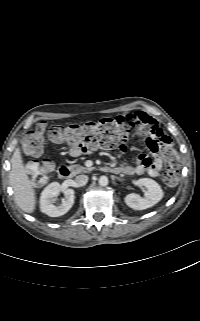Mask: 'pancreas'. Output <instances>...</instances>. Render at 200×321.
Masks as SVG:
<instances>
[{
    "label": "pancreas",
    "mask_w": 200,
    "mask_h": 321,
    "mask_svg": "<svg viewBox=\"0 0 200 321\" xmlns=\"http://www.w3.org/2000/svg\"><path fill=\"white\" fill-rule=\"evenodd\" d=\"M70 169L72 170V172L74 174L87 173L92 170L91 168H87V167L80 166V165H72V166H70Z\"/></svg>",
    "instance_id": "1"
}]
</instances>
